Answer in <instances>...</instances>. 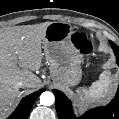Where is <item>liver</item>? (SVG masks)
Instances as JSON below:
<instances>
[{
    "mask_svg": "<svg viewBox=\"0 0 119 119\" xmlns=\"http://www.w3.org/2000/svg\"><path fill=\"white\" fill-rule=\"evenodd\" d=\"M51 22L0 31V115L6 112L18 95L14 83L27 79L25 87L37 85L32 71L42 66V43L46 28ZM19 66L23 69L20 70Z\"/></svg>",
    "mask_w": 119,
    "mask_h": 119,
    "instance_id": "liver-1",
    "label": "liver"
}]
</instances>
